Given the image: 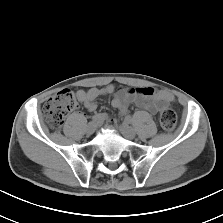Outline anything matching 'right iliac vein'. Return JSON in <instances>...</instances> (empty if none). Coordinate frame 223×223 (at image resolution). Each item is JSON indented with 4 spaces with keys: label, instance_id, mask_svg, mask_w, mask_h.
I'll return each instance as SVG.
<instances>
[{
    "label": "right iliac vein",
    "instance_id": "obj_1",
    "mask_svg": "<svg viewBox=\"0 0 223 223\" xmlns=\"http://www.w3.org/2000/svg\"><path fill=\"white\" fill-rule=\"evenodd\" d=\"M96 130V123L94 122H90L87 126H86V133L91 135L95 132Z\"/></svg>",
    "mask_w": 223,
    "mask_h": 223
}]
</instances>
